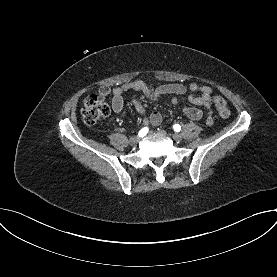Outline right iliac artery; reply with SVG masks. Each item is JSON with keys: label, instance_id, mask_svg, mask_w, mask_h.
Returning <instances> with one entry per match:
<instances>
[{"label": "right iliac artery", "instance_id": "obj_1", "mask_svg": "<svg viewBox=\"0 0 277 277\" xmlns=\"http://www.w3.org/2000/svg\"><path fill=\"white\" fill-rule=\"evenodd\" d=\"M147 132H148V128H147V127H144V128H142V129L139 131V136H140V137H143V136H145V135L147 134Z\"/></svg>", "mask_w": 277, "mask_h": 277}]
</instances>
